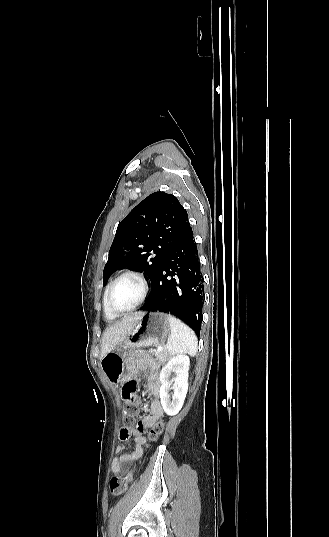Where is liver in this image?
Wrapping results in <instances>:
<instances>
[{
	"label": "liver",
	"mask_w": 329,
	"mask_h": 537,
	"mask_svg": "<svg viewBox=\"0 0 329 537\" xmlns=\"http://www.w3.org/2000/svg\"><path fill=\"white\" fill-rule=\"evenodd\" d=\"M141 315L142 313H136L128 316L104 331L101 341V359L126 338L140 320Z\"/></svg>",
	"instance_id": "1"
}]
</instances>
